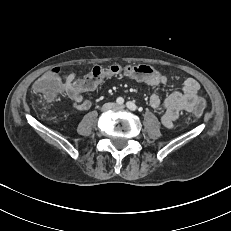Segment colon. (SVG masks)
Returning <instances> with one entry per match:
<instances>
[{
	"label": "colon",
	"instance_id": "5ec220e1",
	"mask_svg": "<svg viewBox=\"0 0 231 231\" xmlns=\"http://www.w3.org/2000/svg\"><path fill=\"white\" fill-rule=\"evenodd\" d=\"M60 68L51 69L48 73L41 74L40 78L34 82L36 93L54 98L60 92V83L58 75ZM166 74L158 70H154L147 65H110L107 67L96 66L85 77L77 80L75 86L82 91L92 90L97 87L104 79L126 75L131 77L134 82L140 84L141 80L150 76ZM211 104L208 100H198L194 109L193 115L196 119L201 120L208 113Z\"/></svg>",
	"mask_w": 231,
	"mask_h": 231
}]
</instances>
